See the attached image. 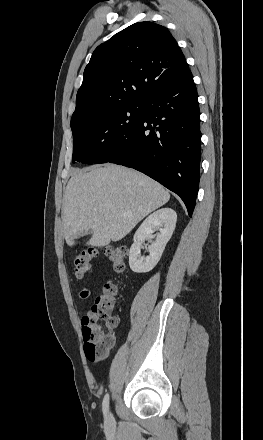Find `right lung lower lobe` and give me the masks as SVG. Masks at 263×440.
Here are the masks:
<instances>
[{
	"label": "right lung lower lobe",
	"mask_w": 263,
	"mask_h": 440,
	"mask_svg": "<svg viewBox=\"0 0 263 440\" xmlns=\"http://www.w3.org/2000/svg\"><path fill=\"white\" fill-rule=\"evenodd\" d=\"M199 121L197 90L188 71L145 98L142 120L104 163L131 167L158 181L180 196L191 217L200 179Z\"/></svg>",
	"instance_id": "1"
}]
</instances>
